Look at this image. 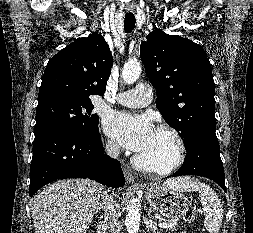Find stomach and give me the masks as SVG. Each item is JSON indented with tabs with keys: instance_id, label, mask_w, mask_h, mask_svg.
I'll return each instance as SVG.
<instances>
[{
	"instance_id": "stomach-1",
	"label": "stomach",
	"mask_w": 253,
	"mask_h": 233,
	"mask_svg": "<svg viewBox=\"0 0 253 233\" xmlns=\"http://www.w3.org/2000/svg\"><path fill=\"white\" fill-rule=\"evenodd\" d=\"M146 196L151 207L166 218L179 219L190 208L187 197L181 191L167 185H148Z\"/></svg>"
}]
</instances>
